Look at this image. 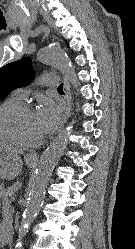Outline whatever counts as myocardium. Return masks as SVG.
<instances>
[{"mask_svg": "<svg viewBox=\"0 0 135 249\" xmlns=\"http://www.w3.org/2000/svg\"><path fill=\"white\" fill-rule=\"evenodd\" d=\"M33 107L29 103H18L15 105L10 106L6 110L2 112L0 115V131L2 134L7 136L11 139L15 144L25 146V147H36L39 146L42 141L43 137L35 140V141H27L23 139L16 129L13 127L12 121L21 113L32 111Z\"/></svg>", "mask_w": 135, "mask_h": 249, "instance_id": "1", "label": "myocardium"}]
</instances>
